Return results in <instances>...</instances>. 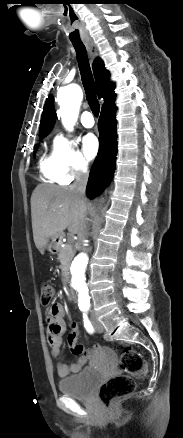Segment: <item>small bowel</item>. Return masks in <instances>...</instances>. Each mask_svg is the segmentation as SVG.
<instances>
[{"mask_svg": "<svg viewBox=\"0 0 183 438\" xmlns=\"http://www.w3.org/2000/svg\"><path fill=\"white\" fill-rule=\"evenodd\" d=\"M46 324L51 354L53 357L61 359L65 322L64 309L60 304H53L48 308ZM68 344L72 353L77 356V359L71 364H66L63 361L57 362L56 370L61 377L79 372L100 349L98 344L86 349L83 345L77 343V325L74 322L70 326Z\"/></svg>", "mask_w": 183, "mask_h": 438, "instance_id": "obj_1", "label": "small bowel"}]
</instances>
